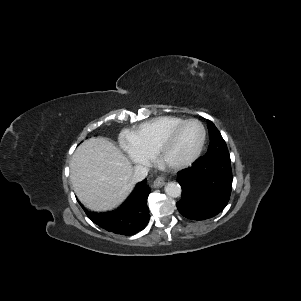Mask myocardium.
<instances>
[{"label": "myocardium", "mask_w": 301, "mask_h": 301, "mask_svg": "<svg viewBox=\"0 0 301 301\" xmlns=\"http://www.w3.org/2000/svg\"><path fill=\"white\" fill-rule=\"evenodd\" d=\"M197 123L202 131L201 140L199 142L198 147L196 148L195 152L188 157L185 160L179 161V162H170L166 159V151L169 146V144L172 142V140L175 138V136L178 134V132L188 123ZM206 141V128L204 124L195 118L186 119L171 130H169L167 133H165L160 140L158 141V144L155 149V155L157 158V161L164 167L169 169H181L184 167L189 166L192 164L201 154L203 147L205 145Z\"/></svg>", "instance_id": "myocardium-1"}]
</instances>
